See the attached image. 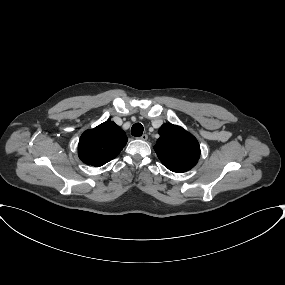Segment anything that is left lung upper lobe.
<instances>
[{"instance_id":"5c2ea615","label":"left lung upper lobe","mask_w":285,"mask_h":285,"mask_svg":"<svg viewBox=\"0 0 285 285\" xmlns=\"http://www.w3.org/2000/svg\"><path fill=\"white\" fill-rule=\"evenodd\" d=\"M160 137L154 149L169 170L182 173L193 168L200 157L199 143L182 127L166 123L158 131Z\"/></svg>"}]
</instances>
